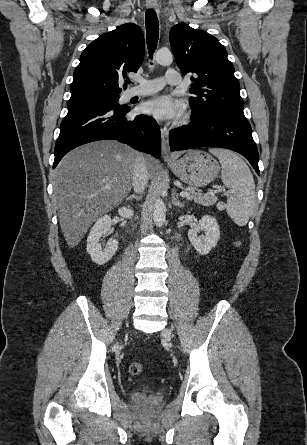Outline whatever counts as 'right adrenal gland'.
<instances>
[{
	"label": "right adrenal gland",
	"mask_w": 307,
	"mask_h": 445,
	"mask_svg": "<svg viewBox=\"0 0 307 445\" xmlns=\"http://www.w3.org/2000/svg\"><path fill=\"white\" fill-rule=\"evenodd\" d=\"M132 198H135V200H141L142 194H139V196H137V194H130V196H127L125 200H132Z\"/></svg>",
	"instance_id": "2a0ac1e0"
}]
</instances>
